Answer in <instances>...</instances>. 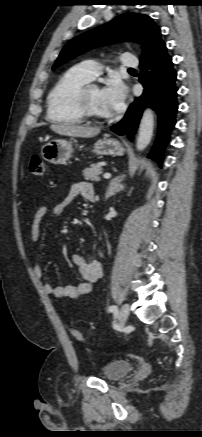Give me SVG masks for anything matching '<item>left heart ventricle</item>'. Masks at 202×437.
<instances>
[{
	"label": "left heart ventricle",
	"instance_id": "obj_1",
	"mask_svg": "<svg viewBox=\"0 0 202 437\" xmlns=\"http://www.w3.org/2000/svg\"><path fill=\"white\" fill-rule=\"evenodd\" d=\"M88 102L94 113L100 116H110L111 114L107 110L103 96L102 90L96 86L91 87L88 90Z\"/></svg>",
	"mask_w": 202,
	"mask_h": 437
}]
</instances>
